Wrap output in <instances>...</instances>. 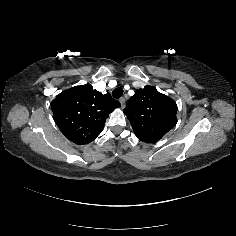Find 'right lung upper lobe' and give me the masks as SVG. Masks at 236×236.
I'll list each match as a JSON object with an SVG mask.
<instances>
[{
	"instance_id": "cb5924a9",
	"label": "right lung upper lobe",
	"mask_w": 236,
	"mask_h": 236,
	"mask_svg": "<svg viewBox=\"0 0 236 236\" xmlns=\"http://www.w3.org/2000/svg\"><path fill=\"white\" fill-rule=\"evenodd\" d=\"M120 103L91 85L75 86L61 92L51 103L54 120L67 139L88 144L102 132L108 115Z\"/></svg>"
}]
</instances>
